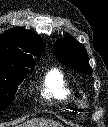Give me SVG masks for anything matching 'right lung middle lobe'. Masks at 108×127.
Masks as SVG:
<instances>
[{"mask_svg": "<svg viewBox=\"0 0 108 127\" xmlns=\"http://www.w3.org/2000/svg\"><path fill=\"white\" fill-rule=\"evenodd\" d=\"M32 66L16 61L0 60V110L5 109L15 98L20 83Z\"/></svg>", "mask_w": 108, "mask_h": 127, "instance_id": "dd1d6c3e", "label": "right lung middle lobe"}]
</instances>
